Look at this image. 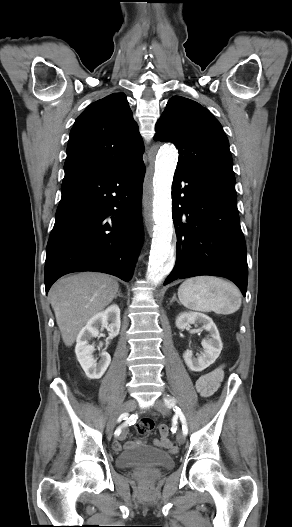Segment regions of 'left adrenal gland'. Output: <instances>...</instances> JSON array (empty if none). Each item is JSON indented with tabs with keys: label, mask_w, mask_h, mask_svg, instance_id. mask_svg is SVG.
<instances>
[{
	"label": "left adrenal gland",
	"mask_w": 292,
	"mask_h": 527,
	"mask_svg": "<svg viewBox=\"0 0 292 527\" xmlns=\"http://www.w3.org/2000/svg\"><path fill=\"white\" fill-rule=\"evenodd\" d=\"M173 301H177L179 303L178 299L176 298V294L173 295L172 299L170 300V303H172Z\"/></svg>",
	"instance_id": "obj_1"
}]
</instances>
